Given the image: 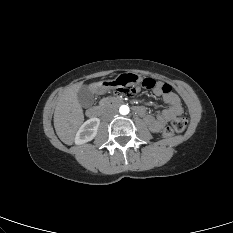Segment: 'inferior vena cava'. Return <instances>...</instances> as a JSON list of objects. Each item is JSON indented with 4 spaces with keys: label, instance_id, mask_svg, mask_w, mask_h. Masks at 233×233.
<instances>
[{
    "label": "inferior vena cava",
    "instance_id": "inferior-vena-cava-1",
    "mask_svg": "<svg viewBox=\"0 0 233 233\" xmlns=\"http://www.w3.org/2000/svg\"><path fill=\"white\" fill-rule=\"evenodd\" d=\"M116 114H117V110L114 108H110L104 112L103 117L106 120H109V119H112L114 116H116Z\"/></svg>",
    "mask_w": 233,
    "mask_h": 233
}]
</instances>
